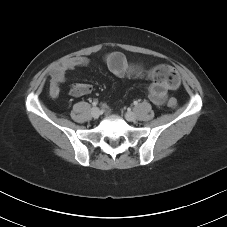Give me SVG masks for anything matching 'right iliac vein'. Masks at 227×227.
<instances>
[{"instance_id": "right-iliac-vein-1", "label": "right iliac vein", "mask_w": 227, "mask_h": 227, "mask_svg": "<svg viewBox=\"0 0 227 227\" xmlns=\"http://www.w3.org/2000/svg\"><path fill=\"white\" fill-rule=\"evenodd\" d=\"M91 114L95 119H97L100 116V110L97 107H94L91 110Z\"/></svg>"}]
</instances>
